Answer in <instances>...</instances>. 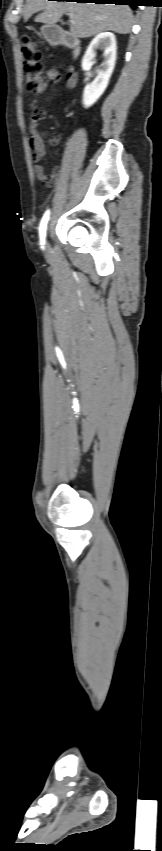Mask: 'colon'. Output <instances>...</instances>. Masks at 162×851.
<instances>
[{"instance_id": "5ec220e1", "label": "colon", "mask_w": 162, "mask_h": 851, "mask_svg": "<svg viewBox=\"0 0 162 851\" xmlns=\"http://www.w3.org/2000/svg\"><path fill=\"white\" fill-rule=\"evenodd\" d=\"M23 73L26 89L29 92L35 90L41 79L42 63L41 53L34 42L28 36L22 38Z\"/></svg>"}]
</instances>
